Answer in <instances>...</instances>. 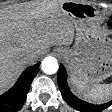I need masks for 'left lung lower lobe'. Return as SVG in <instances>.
Listing matches in <instances>:
<instances>
[{"label": "left lung lower lobe", "mask_w": 112, "mask_h": 112, "mask_svg": "<svg viewBox=\"0 0 112 112\" xmlns=\"http://www.w3.org/2000/svg\"><path fill=\"white\" fill-rule=\"evenodd\" d=\"M108 24L112 27V22H109ZM57 81L63 99L69 106L76 110H79L81 112H100L112 105V101L100 105L90 104L73 95L67 83L66 70L62 64L60 65L57 73Z\"/></svg>", "instance_id": "obj_1"}]
</instances>
